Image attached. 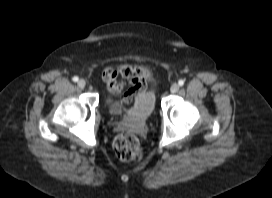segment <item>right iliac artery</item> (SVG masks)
<instances>
[{"label":"right iliac artery","mask_w":272,"mask_h":198,"mask_svg":"<svg viewBox=\"0 0 272 198\" xmlns=\"http://www.w3.org/2000/svg\"><path fill=\"white\" fill-rule=\"evenodd\" d=\"M78 79H79V78H78L77 76H74L72 80H73L74 82H77Z\"/></svg>","instance_id":"right-iliac-artery-1"}]
</instances>
